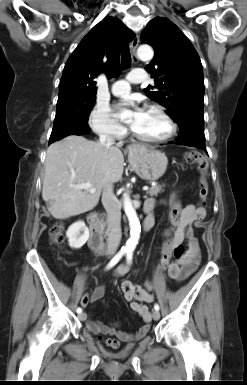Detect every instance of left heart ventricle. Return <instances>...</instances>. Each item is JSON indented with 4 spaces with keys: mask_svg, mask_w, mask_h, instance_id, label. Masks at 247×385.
Here are the masks:
<instances>
[{
    "mask_svg": "<svg viewBox=\"0 0 247 385\" xmlns=\"http://www.w3.org/2000/svg\"><path fill=\"white\" fill-rule=\"evenodd\" d=\"M132 128L140 135L148 138L165 136L169 131V125L165 119L155 111L144 110L140 119L130 118Z\"/></svg>",
    "mask_w": 247,
    "mask_h": 385,
    "instance_id": "obj_1",
    "label": "left heart ventricle"
}]
</instances>
